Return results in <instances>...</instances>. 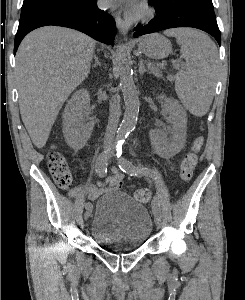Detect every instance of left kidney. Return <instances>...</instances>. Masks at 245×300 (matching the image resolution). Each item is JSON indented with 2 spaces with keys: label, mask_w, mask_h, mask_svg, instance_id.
Segmentation results:
<instances>
[{
  "label": "left kidney",
  "mask_w": 245,
  "mask_h": 300,
  "mask_svg": "<svg viewBox=\"0 0 245 300\" xmlns=\"http://www.w3.org/2000/svg\"><path fill=\"white\" fill-rule=\"evenodd\" d=\"M159 98L164 99V108L169 114L168 120L172 127L167 131H154L153 143L162 155L171 157L178 153L185 143L187 115L175 99L166 98L164 95Z\"/></svg>",
  "instance_id": "1"
}]
</instances>
